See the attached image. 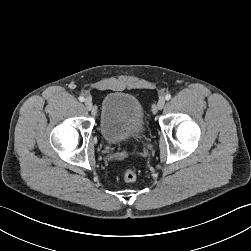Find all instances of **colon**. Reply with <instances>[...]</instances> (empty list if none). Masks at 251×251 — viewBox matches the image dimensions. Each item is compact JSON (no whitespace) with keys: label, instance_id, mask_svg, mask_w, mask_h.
Instances as JSON below:
<instances>
[{"label":"colon","instance_id":"obj_1","mask_svg":"<svg viewBox=\"0 0 251 251\" xmlns=\"http://www.w3.org/2000/svg\"><path fill=\"white\" fill-rule=\"evenodd\" d=\"M122 177L125 182L131 183V182L136 181L137 173L135 170L131 168H126L122 172Z\"/></svg>","mask_w":251,"mask_h":251}]
</instances>
